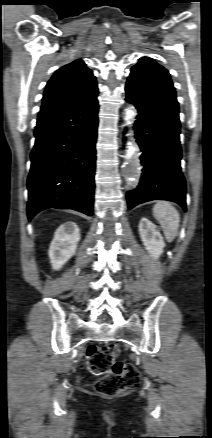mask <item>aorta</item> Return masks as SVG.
<instances>
[{"instance_id": "aorta-1", "label": "aorta", "mask_w": 212, "mask_h": 438, "mask_svg": "<svg viewBox=\"0 0 212 438\" xmlns=\"http://www.w3.org/2000/svg\"><path fill=\"white\" fill-rule=\"evenodd\" d=\"M135 113L131 109H127L125 112V120L127 123H130V121L134 118ZM137 151V148L132 144L129 143L127 146V156L131 157L135 152Z\"/></svg>"}]
</instances>
